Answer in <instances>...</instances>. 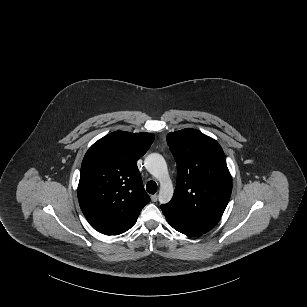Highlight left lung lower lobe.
Here are the masks:
<instances>
[{"mask_svg":"<svg viewBox=\"0 0 307 307\" xmlns=\"http://www.w3.org/2000/svg\"><path fill=\"white\" fill-rule=\"evenodd\" d=\"M163 214L165 215L168 223L177 231L188 236H199L206 233L198 228L188 225L183 220L176 218L174 213L166 208L161 207Z\"/></svg>","mask_w":307,"mask_h":307,"instance_id":"1","label":"left lung lower lobe"}]
</instances>
